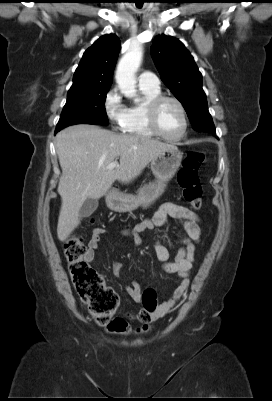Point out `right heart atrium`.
<instances>
[{"label":"right heart atrium","instance_id":"d8ad5b80","mask_svg":"<svg viewBox=\"0 0 272 401\" xmlns=\"http://www.w3.org/2000/svg\"><path fill=\"white\" fill-rule=\"evenodd\" d=\"M103 108L109 122L117 129H122L126 116L127 107L118 88H111L104 97Z\"/></svg>","mask_w":272,"mask_h":401}]
</instances>
